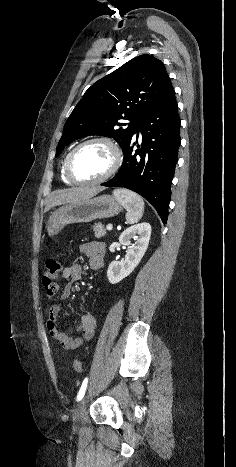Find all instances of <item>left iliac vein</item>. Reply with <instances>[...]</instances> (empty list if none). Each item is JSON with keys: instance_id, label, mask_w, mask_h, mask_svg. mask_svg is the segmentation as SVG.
Returning a JSON list of instances; mask_svg holds the SVG:
<instances>
[{"instance_id": "1", "label": "left iliac vein", "mask_w": 236, "mask_h": 467, "mask_svg": "<svg viewBox=\"0 0 236 467\" xmlns=\"http://www.w3.org/2000/svg\"><path fill=\"white\" fill-rule=\"evenodd\" d=\"M88 399H89V396L86 395L78 404L76 410H75V413H74V416H73V419H74V422L76 424L78 423H81L82 419H83V416H84V413H85V410H86V406H87V402H88Z\"/></svg>"}]
</instances>
